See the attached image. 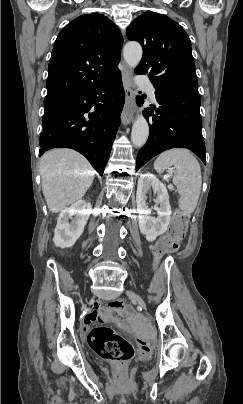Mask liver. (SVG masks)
I'll return each mask as SVG.
<instances>
[{"label":"liver","instance_id":"6515ba94","mask_svg":"<svg viewBox=\"0 0 243 404\" xmlns=\"http://www.w3.org/2000/svg\"><path fill=\"white\" fill-rule=\"evenodd\" d=\"M42 190L46 204L53 214L82 200L89 190L95 170L74 150H50L40 160Z\"/></svg>","mask_w":243,"mask_h":404}]
</instances>
